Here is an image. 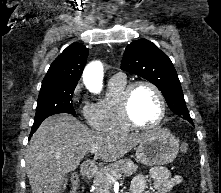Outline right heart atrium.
I'll return each instance as SVG.
<instances>
[{"mask_svg":"<svg viewBox=\"0 0 221 193\" xmlns=\"http://www.w3.org/2000/svg\"><path fill=\"white\" fill-rule=\"evenodd\" d=\"M80 92H81L80 86L75 87V89L72 92V99L76 100L79 97Z\"/></svg>","mask_w":221,"mask_h":193,"instance_id":"1","label":"right heart atrium"}]
</instances>
